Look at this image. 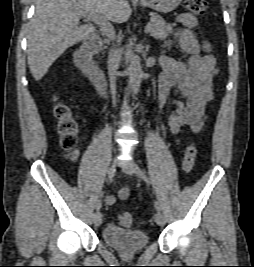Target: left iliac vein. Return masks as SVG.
Instances as JSON below:
<instances>
[{
	"mask_svg": "<svg viewBox=\"0 0 254 267\" xmlns=\"http://www.w3.org/2000/svg\"><path fill=\"white\" fill-rule=\"evenodd\" d=\"M124 172L130 176L134 175L135 173V165L130 164V165H126L124 166ZM155 222L159 225V226H164L165 224V218L163 216V214L160 211H157L155 213L154 216Z\"/></svg>",
	"mask_w": 254,
	"mask_h": 267,
	"instance_id": "left-iliac-vein-1",
	"label": "left iliac vein"
}]
</instances>
